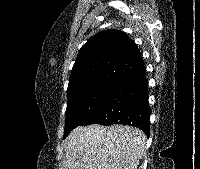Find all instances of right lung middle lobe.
Masks as SVG:
<instances>
[{
	"instance_id": "1",
	"label": "right lung middle lobe",
	"mask_w": 200,
	"mask_h": 169,
	"mask_svg": "<svg viewBox=\"0 0 200 169\" xmlns=\"http://www.w3.org/2000/svg\"><path fill=\"white\" fill-rule=\"evenodd\" d=\"M117 83L110 80L98 82L69 97L66 109L64 138L108 98Z\"/></svg>"
}]
</instances>
